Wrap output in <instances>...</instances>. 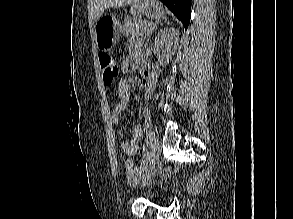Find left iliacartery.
Wrapping results in <instances>:
<instances>
[{"instance_id": "44dca946", "label": "left iliac artery", "mask_w": 293, "mask_h": 219, "mask_svg": "<svg viewBox=\"0 0 293 219\" xmlns=\"http://www.w3.org/2000/svg\"><path fill=\"white\" fill-rule=\"evenodd\" d=\"M144 118H145L146 134H147L146 144L144 146V157L147 160L151 156V151H149V143L150 142L148 139V130L151 126V115H150V110L148 109V107H145V109H144Z\"/></svg>"}]
</instances>
